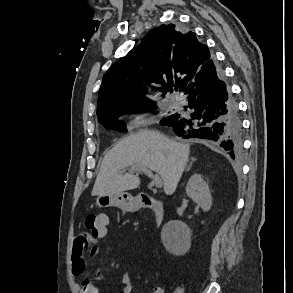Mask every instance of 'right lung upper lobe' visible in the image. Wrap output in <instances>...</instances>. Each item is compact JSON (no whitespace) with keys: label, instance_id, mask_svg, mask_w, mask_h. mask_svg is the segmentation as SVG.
Returning a JSON list of instances; mask_svg holds the SVG:
<instances>
[{"label":"right lung upper lobe","instance_id":"right-lung-upper-lobe-1","mask_svg":"<svg viewBox=\"0 0 293 293\" xmlns=\"http://www.w3.org/2000/svg\"><path fill=\"white\" fill-rule=\"evenodd\" d=\"M211 59L209 49L194 32L181 33L174 24L147 34L140 46L112 65L99 90L97 117L111 112H132L146 104L142 81L158 89L182 91Z\"/></svg>","mask_w":293,"mask_h":293}]
</instances>
